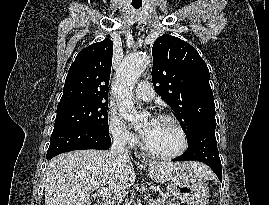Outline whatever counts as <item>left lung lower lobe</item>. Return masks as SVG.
<instances>
[{
	"instance_id": "obj_1",
	"label": "left lung lower lobe",
	"mask_w": 269,
	"mask_h": 205,
	"mask_svg": "<svg viewBox=\"0 0 269 205\" xmlns=\"http://www.w3.org/2000/svg\"><path fill=\"white\" fill-rule=\"evenodd\" d=\"M216 125H203L188 138L187 151L172 161L197 160L207 164L222 181V166L215 137Z\"/></svg>"
}]
</instances>
